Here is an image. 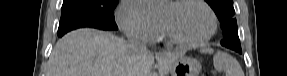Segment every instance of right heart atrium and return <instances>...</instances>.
<instances>
[{"instance_id":"d8ad5b80","label":"right heart atrium","mask_w":287,"mask_h":76,"mask_svg":"<svg viewBox=\"0 0 287 76\" xmlns=\"http://www.w3.org/2000/svg\"><path fill=\"white\" fill-rule=\"evenodd\" d=\"M116 20L120 29L130 38L142 42H152L158 37L159 22L147 16L135 0L121 2Z\"/></svg>"}]
</instances>
